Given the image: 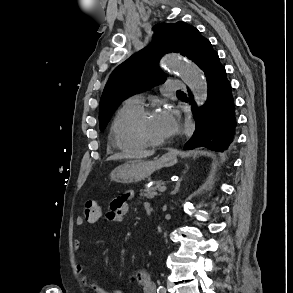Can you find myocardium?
<instances>
[{
    "label": "myocardium",
    "mask_w": 293,
    "mask_h": 293,
    "mask_svg": "<svg viewBox=\"0 0 293 293\" xmlns=\"http://www.w3.org/2000/svg\"><path fill=\"white\" fill-rule=\"evenodd\" d=\"M155 113H156V111L154 109H142L141 112L138 114V116L135 119L134 130H135L137 137L147 146L161 147V146H164L168 142V139L163 140V141H154V140H151L150 138H148L143 131V123H144L145 119Z\"/></svg>",
    "instance_id": "f54148a6"
}]
</instances>
